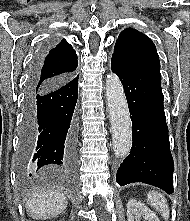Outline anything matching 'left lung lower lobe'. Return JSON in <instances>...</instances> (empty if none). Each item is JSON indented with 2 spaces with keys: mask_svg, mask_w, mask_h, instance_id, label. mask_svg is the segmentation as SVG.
Returning <instances> with one entry per match:
<instances>
[{
  "mask_svg": "<svg viewBox=\"0 0 190 221\" xmlns=\"http://www.w3.org/2000/svg\"><path fill=\"white\" fill-rule=\"evenodd\" d=\"M111 68L120 78L132 120L130 154L117 170L120 186L142 182L172 194L174 163L163 106L159 71L137 68L112 57Z\"/></svg>",
  "mask_w": 190,
  "mask_h": 221,
  "instance_id": "left-lung-lower-lobe-1",
  "label": "left lung lower lobe"
}]
</instances>
